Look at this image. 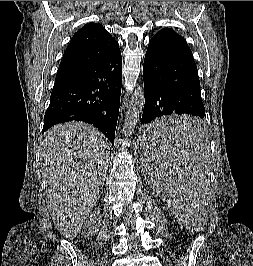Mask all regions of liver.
<instances>
[{
	"label": "liver",
	"mask_w": 253,
	"mask_h": 266,
	"mask_svg": "<svg viewBox=\"0 0 253 266\" xmlns=\"http://www.w3.org/2000/svg\"><path fill=\"white\" fill-rule=\"evenodd\" d=\"M41 158L48 210L60 234L72 240L100 197L109 142L86 123L59 124L45 133Z\"/></svg>",
	"instance_id": "1"
}]
</instances>
